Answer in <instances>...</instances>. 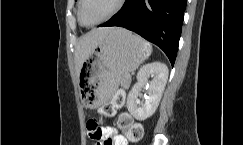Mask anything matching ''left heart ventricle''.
Returning a JSON list of instances; mask_svg holds the SVG:
<instances>
[{
	"mask_svg": "<svg viewBox=\"0 0 243 145\" xmlns=\"http://www.w3.org/2000/svg\"><path fill=\"white\" fill-rule=\"evenodd\" d=\"M119 0H85L83 20L87 24H95L106 17L116 7Z\"/></svg>",
	"mask_w": 243,
	"mask_h": 145,
	"instance_id": "b2bd125f",
	"label": "left heart ventricle"
}]
</instances>
